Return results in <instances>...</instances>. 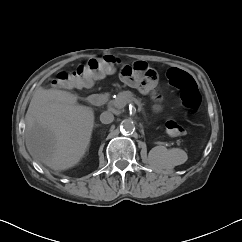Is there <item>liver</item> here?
<instances>
[{"mask_svg": "<svg viewBox=\"0 0 242 242\" xmlns=\"http://www.w3.org/2000/svg\"><path fill=\"white\" fill-rule=\"evenodd\" d=\"M68 91L38 88L25 116V142L36 161L55 171L80 162L90 144L94 111Z\"/></svg>", "mask_w": 242, "mask_h": 242, "instance_id": "obj_1", "label": "liver"}]
</instances>
